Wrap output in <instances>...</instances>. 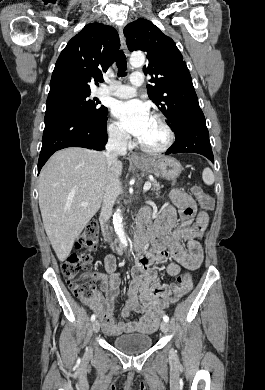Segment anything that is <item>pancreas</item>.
<instances>
[{
    "label": "pancreas",
    "mask_w": 265,
    "mask_h": 390,
    "mask_svg": "<svg viewBox=\"0 0 265 390\" xmlns=\"http://www.w3.org/2000/svg\"><path fill=\"white\" fill-rule=\"evenodd\" d=\"M153 185L154 186H153L152 190L154 192H158L160 190V188H161L160 184L155 180Z\"/></svg>",
    "instance_id": "cf45deb5"
}]
</instances>
